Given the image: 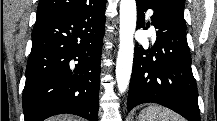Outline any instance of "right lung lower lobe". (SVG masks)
Masks as SVG:
<instances>
[{
	"label": "right lung lower lobe",
	"mask_w": 217,
	"mask_h": 121,
	"mask_svg": "<svg viewBox=\"0 0 217 121\" xmlns=\"http://www.w3.org/2000/svg\"><path fill=\"white\" fill-rule=\"evenodd\" d=\"M106 0L36 20L23 91L25 121L70 113L98 121Z\"/></svg>",
	"instance_id": "obj_1"
}]
</instances>
